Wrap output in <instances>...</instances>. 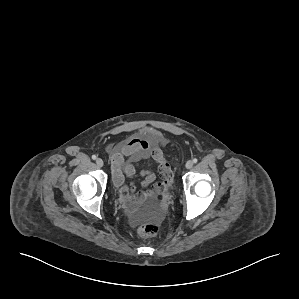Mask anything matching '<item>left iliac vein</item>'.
I'll list each match as a JSON object with an SVG mask.
<instances>
[{"label":"left iliac vein","mask_w":299,"mask_h":299,"mask_svg":"<svg viewBox=\"0 0 299 299\" xmlns=\"http://www.w3.org/2000/svg\"><path fill=\"white\" fill-rule=\"evenodd\" d=\"M186 168L187 169H191L192 167H193V161H191V160H188L187 162H186Z\"/></svg>","instance_id":"left-iliac-vein-1"}]
</instances>
